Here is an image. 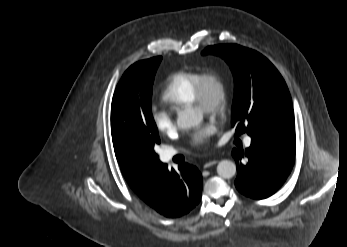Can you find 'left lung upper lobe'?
<instances>
[{
	"label": "left lung upper lobe",
	"instance_id": "1",
	"mask_svg": "<svg viewBox=\"0 0 347 247\" xmlns=\"http://www.w3.org/2000/svg\"><path fill=\"white\" fill-rule=\"evenodd\" d=\"M222 57L234 77L231 124L236 135L280 132L295 136L292 100L287 85L272 63L248 48L225 44L207 47L202 54Z\"/></svg>",
	"mask_w": 347,
	"mask_h": 247
}]
</instances>
